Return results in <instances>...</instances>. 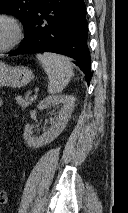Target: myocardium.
<instances>
[{"mask_svg":"<svg viewBox=\"0 0 128 213\" xmlns=\"http://www.w3.org/2000/svg\"><path fill=\"white\" fill-rule=\"evenodd\" d=\"M0 20L6 21L10 25L13 32L9 43L3 47H0V53H2L14 49L22 41L24 31L21 22L11 14L0 13Z\"/></svg>","mask_w":128,"mask_h":213,"instance_id":"myocardium-1","label":"myocardium"}]
</instances>
